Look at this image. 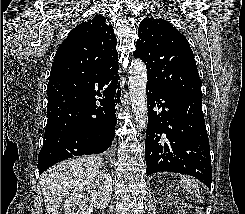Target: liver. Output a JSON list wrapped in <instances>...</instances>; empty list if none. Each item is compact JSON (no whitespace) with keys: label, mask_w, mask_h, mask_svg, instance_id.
<instances>
[{"label":"liver","mask_w":245,"mask_h":214,"mask_svg":"<svg viewBox=\"0 0 245 214\" xmlns=\"http://www.w3.org/2000/svg\"><path fill=\"white\" fill-rule=\"evenodd\" d=\"M101 165L100 156H83L63 161L48 169L40 179L48 214H59L64 197L83 181L88 173L98 170Z\"/></svg>","instance_id":"6515ba94"}]
</instances>
